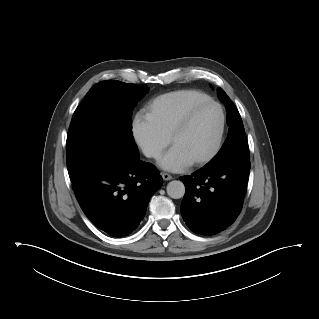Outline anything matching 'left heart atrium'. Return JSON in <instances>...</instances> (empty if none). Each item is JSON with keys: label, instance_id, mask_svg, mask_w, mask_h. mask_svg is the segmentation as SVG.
Segmentation results:
<instances>
[{"label": "left heart atrium", "instance_id": "left-heart-atrium-1", "mask_svg": "<svg viewBox=\"0 0 319 319\" xmlns=\"http://www.w3.org/2000/svg\"><path fill=\"white\" fill-rule=\"evenodd\" d=\"M164 170L180 172L192 165V161L185 158L177 149L171 148L158 162Z\"/></svg>", "mask_w": 319, "mask_h": 319}]
</instances>
